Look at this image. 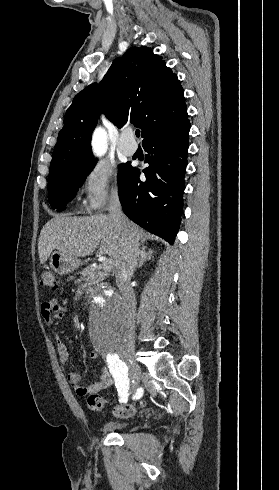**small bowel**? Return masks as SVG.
Instances as JSON below:
<instances>
[{
    "label": "small bowel",
    "instance_id": "1",
    "mask_svg": "<svg viewBox=\"0 0 279 490\" xmlns=\"http://www.w3.org/2000/svg\"><path fill=\"white\" fill-rule=\"evenodd\" d=\"M68 315L69 312L67 307L61 305L55 299L46 301L41 306V316L46 323H51L56 319L64 318ZM55 340L60 362L62 364L68 363L70 360V350L68 346L59 336H56ZM90 357L95 359L97 354L92 352ZM83 378L84 373L82 371H73L67 376L68 382L73 385L78 395L94 394L112 385V377L106 367L102 369L99 379L94 383L83 384Z\"/></svg>",
    "mask_w": 279,
    "mask_h": 490
}]
</instances>
